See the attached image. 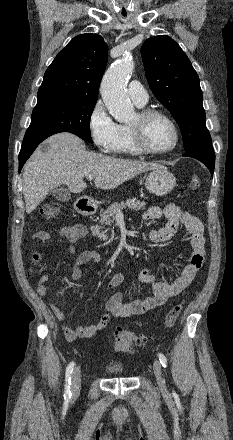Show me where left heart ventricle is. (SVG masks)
<instances>
[{
    "mask_svg": "<svg viewBox=\"0 0 233 440\" xmlns=\"http://www.w3.org/2000/svg\"><path fill=\"white\" fill-rule=\"evenodd\" d=\"M139 123L136 115L129 125ZM145 139L147 144L155 150H164L172 146L174 132L170 124L161 117H153L145 124Z\"/></svg>",
    "mask_w": 233,
    "mask_h": 440,
    "instance_id": "obj_1",
    "label": "left heart ventricle"
}]
</instances>
